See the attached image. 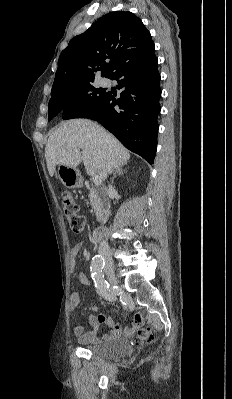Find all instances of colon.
I'll list each match as a JSON object with an SVG mask.
<instances>
[{
	"instance_id": "obj_1",
	"label": "colon",
	"mask_w": 232,
	"mask_h": 399,
	"mask_svg": "<svg viewBox=\"0 0 232 399\" xmlns=\"http://www.w3.org/2000/svg\"><path fill=\"white\" fill-rule=\"evenodd\" d=\"M61 198L63 213H65V220H68L69 227H71V232H77L78 234L84 232V238L88 239L89 231H84V227H82L84 215H79V218H76V213H79V208H76V198H73V192L70 191V188L61 190ZM136 336L138 337L139 341H148L149 339L147 330H137Z\"/></svg>"
}]
</instances>
